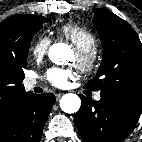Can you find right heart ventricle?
<instances>
[{"label": "right heart ventricle", "instance_id": "obj_1", "mask_svg": "<svg viewBox=\"0 0 142 142\" xmlns=\"http://www.w3.org/2000/svg\"><path fill=\"white\" fill-rule=\"evenodd\" d=\"M59 37L71 42L77 50L89 51L98 45L96 36L85 26L67 23L57 29Z\"/></svg>", "mask_w": 142, "mask_h": 142}]
</instances>
